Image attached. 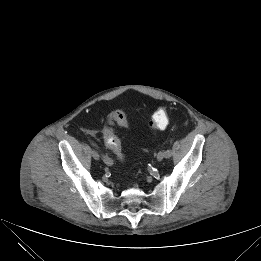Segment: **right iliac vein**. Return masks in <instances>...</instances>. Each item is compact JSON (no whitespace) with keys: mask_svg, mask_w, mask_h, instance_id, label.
Here are the masks:
<instances>
[{"mask_svg":"<svg viewBox=\"0 0 261 261\" xmlns=\"http://www.w3.org/2000/svg\"><path fill=\"white\" fill-rule=\"evenodd\" d=\"M91 156H92V158H93L95 161L100 160V155H99V153H98L96 150H92V151H91Z\"/></svg>","mask_w":261,"mask_h":261,"instance_id":"63e3f726","label":"right iliac vein"}]
</instances>
